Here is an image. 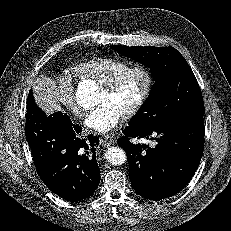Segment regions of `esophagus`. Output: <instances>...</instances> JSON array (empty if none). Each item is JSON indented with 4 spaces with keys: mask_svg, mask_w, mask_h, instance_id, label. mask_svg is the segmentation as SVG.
Masks as SVG:
<instances>
[{
    "mask_svg": "<svg viewBox=\"0 0 231 231\" xmlns=\"http://www.w3.org/2000/svg\"><path fill=\"white\" fill-rule=\"evenodd\" d=\"M101 141H102L104 144L110 145V144L115 143L116 139H115V137H113V136L104 135V136L102 137Z\"/></svg>",
    "mask_w": 231,
    "mask_h": 231,
    "instance_id": "34e87169",
    "label": "esophagus"
}]
</instances>
